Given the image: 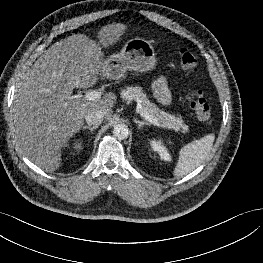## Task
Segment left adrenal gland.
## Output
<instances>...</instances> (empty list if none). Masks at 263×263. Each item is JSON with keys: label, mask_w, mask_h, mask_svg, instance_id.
I'll list each match as a JSON object with an SVG mask.
<instances>
[{"label": "left adrenal gland", "mask_w": 263, "mask_h": 263, "mask_svg": "<svg viewBox=\"0 0 263 263\" xmlns=\"http://www.w3.org/2000/svg\"><path fill=\"white\" fill-rule=\"evenodd\" d=\"M133 121L134 123L138 124V129L142 128L144 125L150 126V123L146 121L137 120L136 118H134Z\"/></svg>", "instance_id": "1"}]
</instances>
